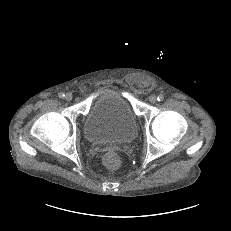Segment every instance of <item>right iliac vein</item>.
<instances>
[{
	"label": "right iliac vein",
	"mask_w": 231,
	"mask_h": 231,
	"mask_svg": "<svg viewBox=\"0 0 231 231\" xmlns=\"http://www.w3.org/2000/svg\"><path fill=\"white\" fill-rule=\"evenodd\" d=\"M65 99H66V101H71V100L73 99L72 94H71V93H67V94L65 95Z\"/></svg>",
	"instance_id": "obj_1"
}]
</instances>
